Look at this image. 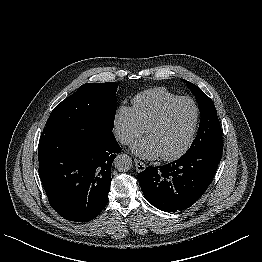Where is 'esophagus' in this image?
Wrapping results in <instances>:
<instances>
[{"instance_id": "34e87169", "label": "esophagus", "mask_w": 262, "mask_h": 262, "mask_svg": "<svg viewBox=\"0 0 262 262\" xmlns=\"http://www.w3.org/2000/svg\"><path fill=\"white\" fill-rule=\"evenodd\" d=\"M134 163H135L136 170L138 172H141V171L145 170L146 165L143 162H141L140 160L135 159Z\"/></svg>"}]
</instances>
